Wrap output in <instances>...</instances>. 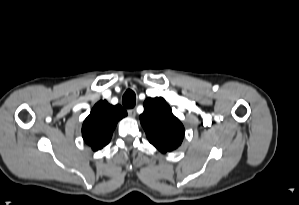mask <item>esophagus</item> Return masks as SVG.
<instances>
[{
	"mask_svg": "<svg viewBox=\"0 0 299 205\" xmlns=\"http://www.w3.org/2000/svg\"><path fill=\"white\" fill-rule=\"evenodd\" d=\"M127 112H128V115H129L130 117H135V116H136V111H135V109H129Z\"/></svg>",
	"mask_w": 299,
	"mask_h": 205,
	"instance_id": "34e87169",
	"label": "esophagus"
}]
</instances>
